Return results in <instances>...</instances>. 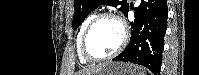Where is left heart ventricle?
Wrapping results in <instances>:
<instances>
[{
  "label": "left heart ventricle",
  "mask_w": 199,
  "mask_h": 75,
  "mask_svg": "<svg viewBox=\"0 0 199 75\" xmlns=\"http://www.w3.org/2000/svg\"><path fill=\"white\" fill-rule=\"evenodd\" d=\"M121 38L120 26L111 19H103L92 28L87 40V50L95 57L105 56L118 47Z\"/></svg>",
  "instance_id": "left-heart-ventricle-1"
}]
</instances>
